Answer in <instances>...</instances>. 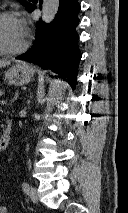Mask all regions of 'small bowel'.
I'll return each mask as SVG.
<instances>
[{"mask_svg":"<svg viewBox=\"0 0 128 213\" xmlns=\"http://www.w3.org/2000/svg\"><path fill=\"white\" fill-rule=\"evenodd\" d=\"M0 213H8L7 209L3 206H0Z\"/></svg>","mask_w":128,"mask_h":213,"instance_id":"1","label":"small bowel"}]
</instances>
